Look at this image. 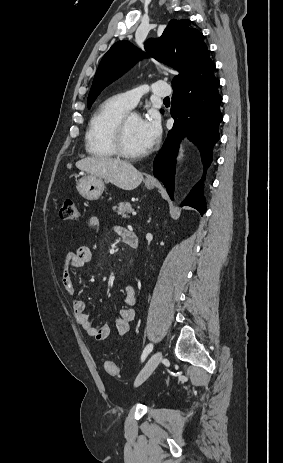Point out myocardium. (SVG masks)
<instances>
[{
  "label": "myocardium",
  "mask_w": 283,
  "mask_h": 463,
  "mask_svg": "<svg viewBox=\"0 0 283 463\" xmlns=\"http://www.w3.org/2000/svg\"><path fill=\"white\" fill-rule=\"evenodd\" d=\"M130 114H124L119 121L117 122L114 133H113V147L115 153L125 159L128 160H138L146 157L149 154V151L141 152V153H132L128 151L125 147L124 143V136H125V128L126 123L129 118Z\"/></svg>",
  "instance_id": "obj_1"
}]
</instances>
